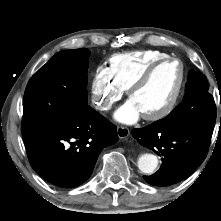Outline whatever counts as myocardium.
Segmentation results:
<instances>
[{
    "instance_id": "myocardium-1",
    "label": "myocardium",
    "mask_w": 221,
    "mask_h": 221,
    "mask_svg": "<svg viewBox=\"0 0 221 221\" xmlns=\"http://www.w3.org/2000/svg\"><path fill=\"white\" fill-rule=\"evenodd\" d=\"M175 62L178 63L181 70V76L180 81L178 84V87L171 98V100L167 103L165 107H163L161 110L152 113V114H144L142 117L151 122L159 121L170 115L175 107L177 106L183 92L185 89L186 81H187V70L182 60L175 58V57H167L160 60L155 61L151 65H149L144 72L130 85V87L127 89V94L131 98L132 95L142 88L152 77V75L155 73V71L160 68L161 66Z\"/></svg>"
}]
</instances>
